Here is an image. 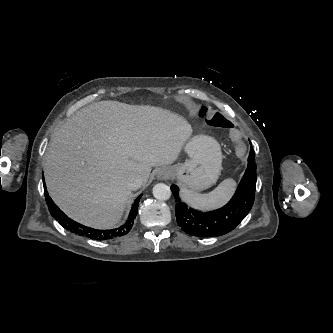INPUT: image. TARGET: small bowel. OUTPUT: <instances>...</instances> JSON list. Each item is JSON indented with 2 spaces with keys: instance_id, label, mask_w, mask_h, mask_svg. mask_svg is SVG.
Wrapping results in <instances>:
<instances>
[{
  "instance_id": "c3829d8e",
  "label": "small bowel",
  "mask_w": 333,
  "mask_h": 333,
  "mask_svg": "<svg viewBox=\"0 0 333 333\" xmlns=\"http://www.w3.org/2000/svg\"><path fill=\"white\" fill-rule=\"evenodd\" d=\"M229 141L234 144L235 156L238 159H243L246 156L245 144L242 142V138L237 133H232L229 136Z\"/></svg>"
}]
</instances>
